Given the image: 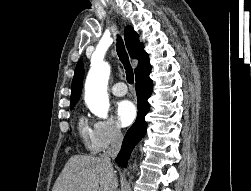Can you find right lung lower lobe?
<instances>
[{
  "label": "right lung lower lobe",
  "mask_w": 251,
  "mask_h": 191,
  "mask_svg": "<svg viewBox=\"0 0 251 191\" xmlns=\"http://www.w3.org/2000/svg\"><path fill=\"white\" fill-rule=\"evenodd\" d=\"M152 90L153 83L149 77L136 80L138 115L135 123L127 131L121 150L116 157V163L122 167H126L131 150L146 133L147 123L144 118L150 110L147 99L151 96Z\"/></svg>",
  "instance_id": "obj_1"
}]
</instances>
